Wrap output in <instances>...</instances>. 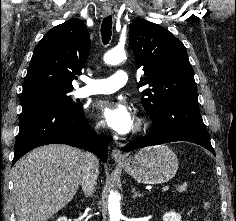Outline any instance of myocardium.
Masks as SVG:
<instances>
[{
	"instance_id": "obj_1",
	"label": "myocardium",
	"mask_w": 236,
	"mask_h": 221,
	"mask_svg": "<svg viewBox=\"0 0 236 221\" xmlns=\"http://www.w3.org/2000/svg\"><path fill=\"white\" fill-rule=\"evenodd\" d=\"M145 129V124L142 119H137L133 129V135L140 134Z\"/></svg>"
}]
</instances>
